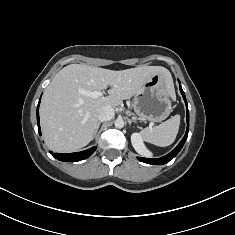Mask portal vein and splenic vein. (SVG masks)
<instances>
[{"label":"portal vein and splenic vein","instance_id":"obj_1","mask_svg":"<svg viewBox=\"0 0 235 235\" xmlns=\"http://www.w3.org/2000/svg\"><path fill=\"white\" fill-rule=\"evenodd\" d=\"M80 92L84 95L91 96L92 98H98V97L103 96V92L101 91L88 92V91L81 90Z\"/></svg>","mask_w":235,"mask_h":235}]
</instances>
